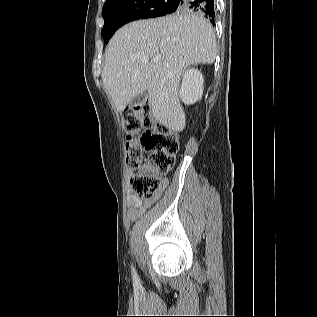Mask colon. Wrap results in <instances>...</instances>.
I'll return each mask as SVG.
<instances>
[{
    "instance_id": "1",
    "label": "colon",
    "mask_w": 317,
    "mask_h": 317,
    "mask_svg": "<svg viewBox=\"0 0 317 317\" xmlns=\"http://www.w3.org/2000/svg\"><path fill=\"white\" fill-rule=\"evenodd\" d=\"M126 131V163L136 171L131 188L139 199L151 200L161 188L162 175L174 166L179 137L150 119L147 105H134L123 116Z\"/></svg>"
}]
</instances>
